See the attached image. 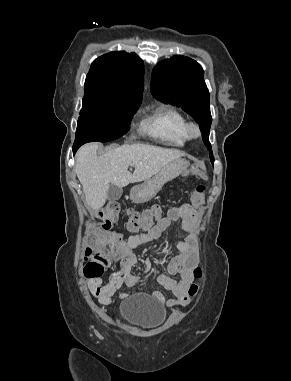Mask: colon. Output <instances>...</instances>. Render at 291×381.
<instances>
[{"label":"colon","instance_id":"5ec220e1","mask_svg":"<svg viewBox=\"0 0 291 381\" xmlns=\"http://www.w3.org/2000/svg\"><path fill=\"white\" fill-rule=\"evenodd\" d=\"M207 187L205 184H198L192 194V201L195 205H201L204 202ZM120 214V206L117 202L107 204L98 213L101 223L97 228L98 238L86 256L85 273L88 277H101L109 266L108 249L104 243V238L111 233L113 223H115ZM162 214L160 206L152 207L143 213H130L127 221L129 231L136 232L139 230H149L155 222L159 220ZM194 276L199 279L202 276V270L196 268ZM198 284H193L189 288V295L194 296L198 292Z\"/></svg>","mask_w":291,"mask_h":381}]
</instances>
